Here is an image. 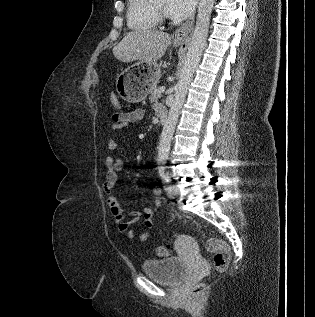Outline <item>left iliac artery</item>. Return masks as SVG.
<instances>
[{
    "mask_svg": "<svg viewBox=\"0 0 315 317\" xmlns=\"http://www.w3.org/2000/svg\"><path fill=\"white\" fill-rule=\"evenodd\" d=\"M159 174H160V177L165 180L166 182H168V179H167V176L165 174V168L163 166H160L159 167ZM171 188V186L167 185L165 186V190L169 191Z\"/></svg>",
    "mask_w": 315,
    "mask_h": 317,
    "instance_id": "obj_1",
    "label": "left iliac artery"
}]
</instances>
